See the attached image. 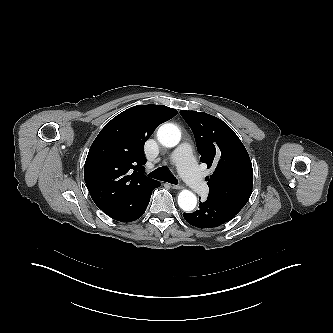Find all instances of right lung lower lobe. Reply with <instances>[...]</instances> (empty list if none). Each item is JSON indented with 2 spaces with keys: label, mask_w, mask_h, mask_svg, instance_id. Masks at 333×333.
<instances>
[{
  "label": "right lung lower lobe",
  "mask_w": 333,
  "mask_h": 333,
  "mask_svg": "<svg viewBox=\"0 0 333 333\" xmlns=\"http://www.w3.org/2000/svg\"><path fill=\"white\" fill-rule=\"evenodd\" d=\"M159 186L160 183L156 181L147 188L132 194L124 205L113 210L105 211L104 213L121 222L137 220L144 214L149 204L153 189Z\"/></svg>",
  "instance_id": "obj_1"
}]
</instances>
